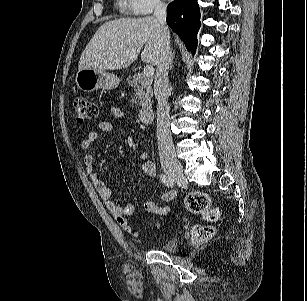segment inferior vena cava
<instances>
[{
    "label": "inferior vena cava",
    "mask_w": 307,
    "mask_h": 301,
    "mask_svg": "<svg viewBox=\"0 0 307 301\" xmlns=\"http://www.w3.org/2000/svg\"><path fill=\"white\" fill-rule=\"evenodd\" d=\"M167 7L164 3H157L154 17L160 25L161 55L157 65L154 79V94L157 99V140L160 157L174 154V145L170 131V107L168 96V69L172 63L173 55L170 49V33L166 26Z\"/></svg>",
    "instance_id": "obj_1"
}]
</instances>
